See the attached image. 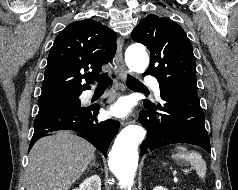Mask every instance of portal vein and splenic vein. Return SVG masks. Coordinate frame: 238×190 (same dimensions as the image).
Returning a JSON list of instances; mask_svg holds the SVG:
<instances>
[{"instance_id": "portal-vein-and-splenic-vein-1", "label": "portal vein and splenic vein", "mask_w": 238, "mask_h": 190, "mask_svg": "<svg viewBox=\"0 0 238 190\" xmlns=\"http://www.w3.org/2000/svg\"><path fill=\"white\" fill-rule=\"evenodd\" d=\"M185 173H188L189 172V170H187V169H184L183 170ZM173 174L175 175L176 174V171H173Z\"/></svg>"}]
</instances>
